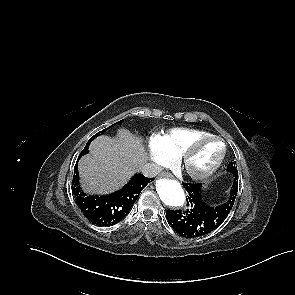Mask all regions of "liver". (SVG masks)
<instances>
[{"mask_svg": "<svg viewBox=\"0 0 295 295\" xmlns=\"http://www.w3.org/2000/svg\"><path fill=\"white\" fill-rule=\"evenodd\" d=\"M90 154L79 161L82 187L86 192L110 193L142 168L147 155L141 140L121 129L116 138L100 136L90 144Z\"/></svg>", "mask_w": 295, "mask_h": 295, "instance_id": "obj_1", "label": "liver"}]
</instances>
